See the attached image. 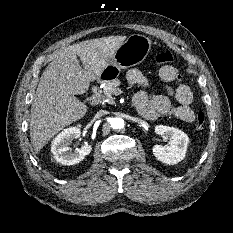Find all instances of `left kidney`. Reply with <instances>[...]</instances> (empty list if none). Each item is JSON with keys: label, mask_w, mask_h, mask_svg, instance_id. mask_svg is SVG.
Returning <instances> with one entry per match:
<instances>
[{"label": "left kidney", "mask_w": 233, "mask_h": 233, "mask_svg": "<svg viewBox=\"0 0 233 233\" xmlns=\"http://www.w3.org/2000/svg\"><path fill=\"white\" fill-rule=\"evenodd\" d=\"M155 132L169 138L168 145H154L153 155L161 162L169 165L177 164L185 158L189 137L183 131L169 126L157 125Z\"/></svg>", "instance_id": "obj_1"}]
</instances>
